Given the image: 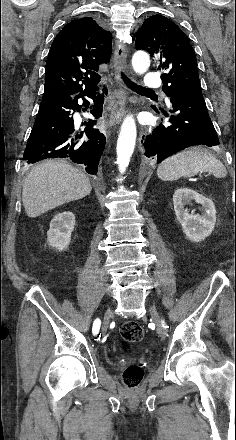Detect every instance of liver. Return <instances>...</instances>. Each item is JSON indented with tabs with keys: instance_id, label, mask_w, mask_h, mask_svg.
Wrapping results in <instances>:
<instances>
[{
	"instance_id": "6515ba94",
	"label": "liver",
	"mask_w": 236,
	"mask_h": 440,
	"mask_svg": "<svg viewBox=\"0 0 236 440\" xmlns=\"http://www.w3.org/2000/svg\"><path fill=\"white\" fill-rule=\"evenodd\" d=\"M92 190L88 177L69 164L47 161L27 175L22 201L28 217L35 218L65 203L79 200Z\"/></svg>"
}]
</instances>
